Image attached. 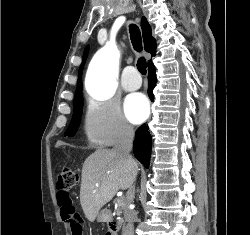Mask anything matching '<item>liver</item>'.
<instances>
[{"mask_svg": "<svg viewBox=\"0 0 250 235\" xmlns=\"http://www.w3.org/2000/svg\"><path fill=\"white\" fill-rule=\"evenodd\" d=\"M138 164L125 163L114 150L99 149L84 162L80 203L86 218L93 222L99 210L119 189L129 188L135 181Z\"/></svg>", "mask_w": 250, "mask_h": 235, "instance_id": "obj_1", "label": "liver"}]
</instances>
